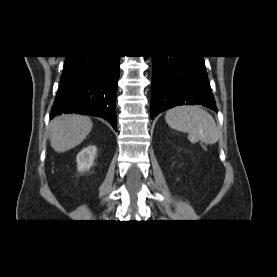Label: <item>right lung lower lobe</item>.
Listing matches in <instances>:
<instances>
[{"label":"right lung lower lobe","instance_id":"obj_1","mask_svg":"<svg viewBox=\"0 0 277 277\" xmlns=\"http://www.w3.org/2000/svg\"><path fill=\"white\" fill-rule=\"evenodd\" d=\"M120 56H67L50 118L79 113L106 118L116 125Z\"/></svg>","mask_w":277,"mask_h":277}]
</instances>
